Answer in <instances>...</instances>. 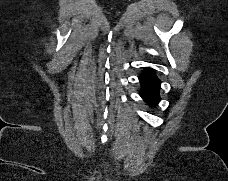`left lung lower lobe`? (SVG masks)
<instances>
[{
    "instance_id": "obj_1",
    "label": "left lung lower lobe",
    "mask_w": 228,
    "mask_h": 181,
    "mask_svg": "<svg viewBox=\"0 0 228 181\" xmlns=\"http://www.w3.org/2000/svg\"><path fill=\"white\" fill-rule=\"evenodd\" d=\"M139 79L142 85L141 97L146 103L152 106L156 105L160 100V80L156 77L152 69H147Z\"/></svg>"
}]
</instances>
